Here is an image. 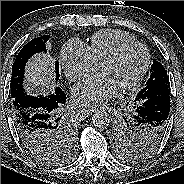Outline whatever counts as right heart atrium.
<instances>
[{
	"mask_svg": "<svg viewBox=\"0 0 184 184\" xmlns=\"http://www.w3.org/2000/svg\"><path fill=\"white\" fill-rule=\"evenodd\" d=\"M59 62L70 81H77L96 69L88 45L78 39H71L64 44Z\"/></svg>",
	"mask_w": 184,
	"mask_h": 184,
	"instance_id": "d8ad5b80",
	"label": "right heart atrium"
}]
</instances>
